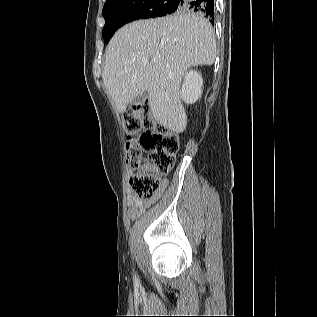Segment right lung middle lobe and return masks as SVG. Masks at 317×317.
I'll return each mask as SVG.
<instances>
[{"instance_id": "obj_1", "label": "right lung middle lobe", "mask_w": 317, "mask_h": 317, "mask_svg": "<svg viewBox=\"0 0 317 317\" xmlns=\"http://www.w3.org/2000/svg\"><path fill=\"white\" fill-rule=\"evenodd\" d=\"M174 0H107L103 7L105 25L102 36L108 43L123 25L138 19L155 18L177 10Z\"/></svg>"}]
</instances>
